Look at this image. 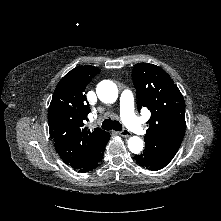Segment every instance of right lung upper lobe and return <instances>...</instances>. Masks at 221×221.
<instances>
[{
  "label": "right lung upper lobe",
  "instance_id": "right-lung-upper-lobe-1",
  "mask_svg": "<svg viewBox=\"0 0 221 221\" xmlns=\"http://www.w3.org/2000/svg\"><path fill=\"white\" fill-rule=\"evenodd\" d=\"M100 71L91 65L72 69L57 84L49 106L50 137L60 158L75 170L94 158L108 135L102 129L90 132L84 127L91 112L84 91Z\"/></svg>",
  "mask_w": 221,
  "mask_h": 221
}]
</instances>
